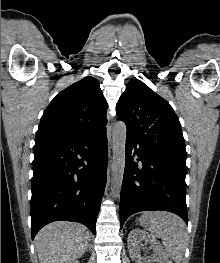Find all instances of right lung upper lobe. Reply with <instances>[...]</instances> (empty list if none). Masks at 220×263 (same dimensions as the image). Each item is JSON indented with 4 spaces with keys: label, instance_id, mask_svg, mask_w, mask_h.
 Segmentation results:
<instances>
[{
    "label": "right lung upper lobe",
    "instance_id": "obj_1",
    "mask_svg": "<svg viewBox=\"0 0 220 263\" xmlns=\"http://www.w3.org/2000/svg\"><path fill=\"white\" fill-rule=\"evenodd\" d=\"M107 103L93 77L61 91L43 113L35 145L97 135L106 130Z\"/></svg>",
    "mask_w": 220,
    "mask_h": 263
}]
</instances>
